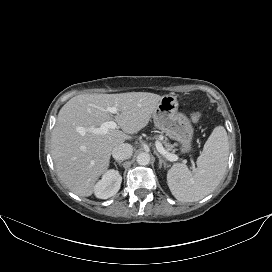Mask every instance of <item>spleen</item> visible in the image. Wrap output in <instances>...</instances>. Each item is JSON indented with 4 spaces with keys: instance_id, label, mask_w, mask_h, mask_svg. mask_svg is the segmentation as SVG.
I'll return each mask as SVG.
<instances>
[{
    "instance_id": "obj_1",
    "label": "spleen",
    "mask_w": 272,
    "mask_h": 272,
    "mask_svg": "<svg viewBox=\"0 0 272 272\" xmlns=\"http://www.w3.org/2000/svg\"><path fill=\"white\" fill-rule=\"evenodd\" d=\"M228 136L223 126H217L206 141L197 159V168L190 171L184 164H174L167 173L172 195L181 202L199 201L220 183L227 167Z\"/></svg>"
}]
</instances>
